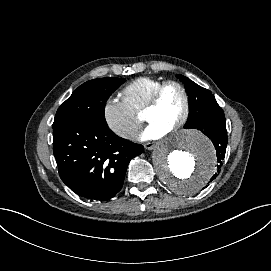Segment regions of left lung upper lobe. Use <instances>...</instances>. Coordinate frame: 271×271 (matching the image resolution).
Masks as SVG:
<instances>
[{
	"label": "left lung upper lobe",
	"mask_w": 271,
	"mask_h": 271,
	"mask_svg": "<svg viewBox=\"0 0 271 271\" xmlns=\"http://www.w3.org/2000/svg\"><path fill=\"white\" fill-rule=\"evenodd\" d=\"M176 76L185 85L189 97V116L185 128L195 129L208 113L221 107L210 90L199 86L183 75Z\"/></svg>",
	"instance_id": "1"
}]
</instances>
